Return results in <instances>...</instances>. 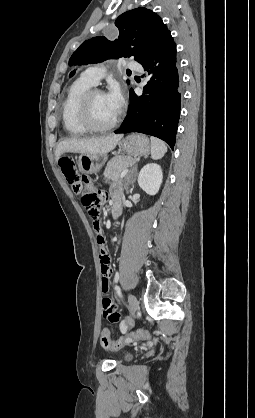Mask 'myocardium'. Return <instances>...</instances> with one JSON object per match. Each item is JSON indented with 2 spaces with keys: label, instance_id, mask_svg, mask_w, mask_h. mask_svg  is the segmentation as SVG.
<instances>
[{
  "label": "myocardium",
  "instance_id": "f54148a6",
  "mask_svg": "<svg viewBox=\"0 0 255 418\" xmlns=\"http://www.w3.org/2000/svg\"><path fill=\"white\" fill-rule=\"evenodd\" d=\"M96 94H104V91L100 88L92 87L83 95L79 104L78 119L88 131L107 132L116 127L120 116L117 114L113 121L107 125H97L92 117V99Z\"/></svg>",
  "mask_w": 255,
  "mask_h": 418
}]
</instances>
